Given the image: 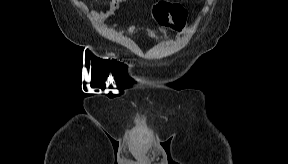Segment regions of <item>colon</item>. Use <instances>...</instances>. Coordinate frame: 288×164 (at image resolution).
<instances>
[{
  "instance_id": "1",
  "label": "colon",
  "mask_w": 288,
  "mask_h": 164,
  "mask_svg": "<svg viewBox=\"0 0 288 164\" xmlns=\"http://www.w3.org/2000/svg\"><path fill=\"white\" fill-rule=\"evenodd\" d=\"M153 18L163 27L182 32L188 26L185 10L176 3H158L153 11Z\"/></svg>"
}]
</instances>
